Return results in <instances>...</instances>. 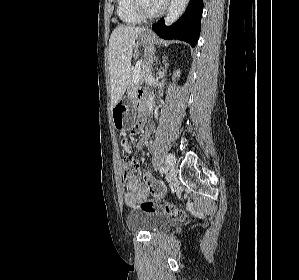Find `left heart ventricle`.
Listing matches in <instances>:
<instances>
[{
    "label": "left heart ventricle",
    "mask_w": 299,
    "mask_h": 280,
    "mask_svg": "<svg viewBox=\"0 0 299 280\" xmlns=\"http://www.w3.org/2000/svg\"><path fill=\"white\" fill-rule=\"evenodd\" d=\"M145 11L149 13L156 12L163 4V0H141Z\"/></svg>",
    "instance_id": "obj_1"
}]
</instances>
